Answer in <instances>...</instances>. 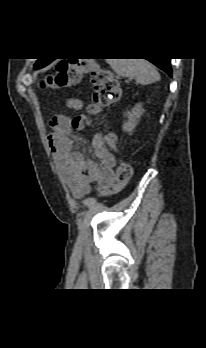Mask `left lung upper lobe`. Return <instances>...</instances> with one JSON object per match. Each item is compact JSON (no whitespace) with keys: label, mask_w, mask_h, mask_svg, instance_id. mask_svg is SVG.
Masks as SVG:
<instances>
[{"label":"left lung upper lobe","mask_w":206,"mask_h":348,"mask_svg":"<svg viewBox=\"0 0 206 348\" xmlns=\"http://www.w3.org/2000/svg\"><path fill=\"white\" fill-rule=\"evenodd\" d=\"M49 63H50V61H47V60H44V59H38V61L34 65V68L35 69H40V68L46 66Z\"/></svg>","instance_id":"5c2ea615"}]
</instances>
